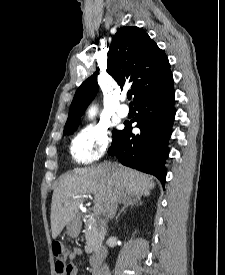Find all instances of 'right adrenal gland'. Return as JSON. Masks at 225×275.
Masks as SVG:
<instances>
[{
  "label": "right adrenal gland",
  "instance_id": "obj_1",
  "mask_svg": "<svg viewBox=\"0 0 225 275\" xmlns=\"http://www.w3.org/2000/svg\"><path fill=\"white\" fill-rule=\"evenodd\" d=\"M140 198H141L140 195H131V196H128L126 198V200L123 201V207L120 210V212L118 213V215L116 216V220H118V218L120 217V215L122 214V212H125V210H126L127 207L133 206V205L139 204V203L141 204Z\"/></svg>",
  "mask_w": 225,
  "mask_h": 275
}]
</instances>
